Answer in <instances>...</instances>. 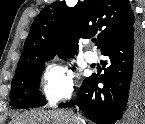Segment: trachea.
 <instances>
[{
  "label": "trachea",
  "instance_id": "3493384b",
  "mask_svg": "<svg viewBox=\"0 0 145 124\" xmlns=\"http://www.w3.org/2000/svg\"><path fill=\"white\" fill-rule=\"evenodd\" d=\"M92 42H93V43H95V42H96V40L94 39V40H92Z\"/></svg>",
  "mask_w": 145,
  "mask_h": 124
}]
</instances>
